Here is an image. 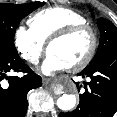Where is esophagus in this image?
<instances>
[{
	"instance_id": "1",
	"label": "esophagus",
	"mask_w": 117,
	"mask_h": 117,
	"mask_svg": "<svg viewBox=\"0 0 117 117\" xmlns=\"http://www.w3.org/2000/svg\"><path fill=\"white\" fill-rule=\"evenodd\" d=\"M50 82H51L50 78L43 77V79H42L43 85H48Z\"/></svg>"
}]
</instances>
